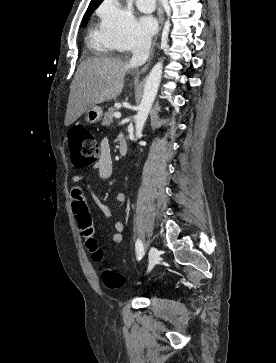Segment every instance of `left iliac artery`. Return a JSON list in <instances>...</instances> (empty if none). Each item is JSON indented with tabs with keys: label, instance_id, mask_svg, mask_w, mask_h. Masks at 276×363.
I'll return each instance as SVG.
<instances>
[{
	"label": "left iliac artery",
	"instance_id": "44dca946",
	"mask_svg": "<svg viewBox=\"0 0 276 363\" xmlns=\"http://www.w3.org/2000/svg\"><path fill=\"white\" fill-rule=\"evenodd\" d=\"M135 247H136L137 259L141 260L142 255L144 253V248H143L142 241L139 238L136 240Z\"/></svg>",
	"mask_w": 276,
	"mask_h": 363
}]
</instances>
